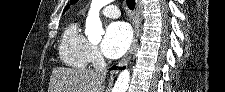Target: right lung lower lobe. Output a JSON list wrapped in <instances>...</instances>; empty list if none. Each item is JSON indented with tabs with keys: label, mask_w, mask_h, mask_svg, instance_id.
<instances>
[{
	"label": "right lung lower lobe",
	"mask_w": 225,
	"mask_h": 92,
	"mask_svg": "<svg viewBox=\"0 0 225 92\" xmlns=\"http://www.w3.org/2000/svg\"><path fill=\"white\" fill-rule=\"evenodd\" d=\"M112 68H113V69H116L117 67H116V66H113ZM120 69H124V68H120Z\"/></svg>",
	"instance_id": "98d812e1"
}]
</instances>
